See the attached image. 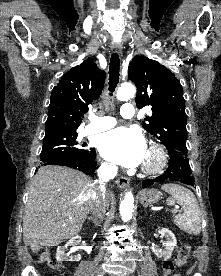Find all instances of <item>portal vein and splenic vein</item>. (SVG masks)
I'll list each match as a JSON object with an SVG mask.
<instances>
[{
  "label": "portal vein and splenic vein",
  "mask_w": 221,
  "mask_h": 276,
  "mask_svg": "<svg viewBox=\"0 0 221 276\" xmlns=\"http://www.w3.org/2000/svg\"><path fill=\"white\" fill-rule=\"evenodd\" d=\"M171 212L177 213V212H178V209H177V208H174V209L171 210Z\"/></svg>",
  "instance_id": "obj_1"
}]
</instances>
